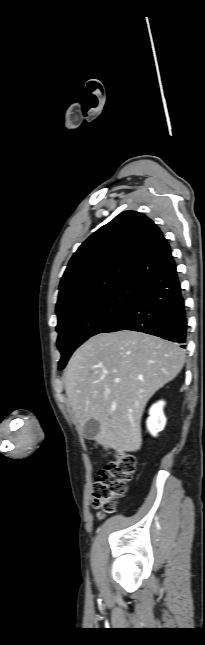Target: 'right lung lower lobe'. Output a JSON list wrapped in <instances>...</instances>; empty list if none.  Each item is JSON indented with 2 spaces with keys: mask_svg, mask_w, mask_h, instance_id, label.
<instances>
[{
  "mask_svg": "<svg viewBox=\"0 0 205 645\" xmlns=\"http://www.w3.org/2000/svg\"><path fill=\"white\" fill-rule=\"evenodd\" d=\"M120 330L144 332L185 348L187 318L175 264L142 282L136 301L101 333Z\"/></svg>",
  "mask_w": 205,
  "mask_h": 645,
  "instance_id": "obj_1",
  "label": "right lung lower lobe"
}]
</instances>
